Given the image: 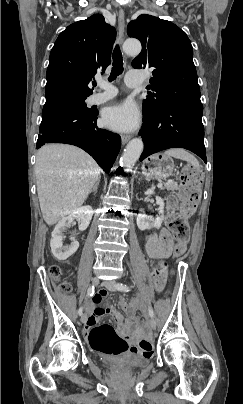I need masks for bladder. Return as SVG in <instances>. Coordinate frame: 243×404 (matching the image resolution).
Returning <instances> with one entry per match:
<instances>
[{
  "mask_svg": "<svg viewBox=\"0 0 243 404\" xmlns=\"http://www.w3.org/2000/svg\"><path fill=\"white\" fill-rule=\"evenodd\" d=\"M149 362V358L140 355H133L123 362L117 364H108L112 369L117 371H129L138 367L146 366Z\"/></svg>",
  "mask_w": 243,
  "mask_h": 404,
  "instance_id": "31cf9c89",
  "label": "bladder"
}]
</instances>
